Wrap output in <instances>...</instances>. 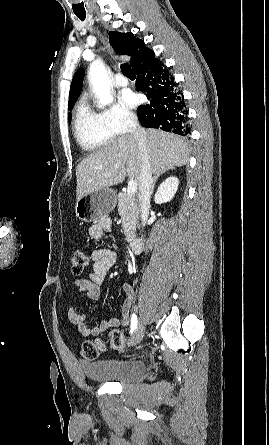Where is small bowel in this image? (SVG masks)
I'll return each mask as SVG.
<instances>
[{
	"mask_svg": "<svg viewBox=\"0 0 269 445\" xmlns=\"http://www.w3.org/2000/svg\"><path fill=\"white\" fill-rule=\"evenodd\" d=\"M111 228V222L104 219L89 228V234L94 239H101L105 232ZM92 269L85 278L75 280L74 289L85 295L89 300H98L101 293V285L109 272L117 261L114 251L106 248L96 249L91 255ZM123 289L126 298L121 306L120 318H109L101 321L98 325L90 327L87 319L92 313H81L75 304L70 303L67 308V319L73 324L78 332L85 337L97 336L102 332L118 327H127L130 320V308L133 299V288L130 284L125 283Z\"/></svg>",
	"mask_w": 269,
	"mask_h": 445,
	"instance_id": "c3829d8e",
	"label": "small bowel"
}]
</instances>
